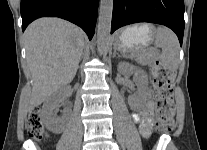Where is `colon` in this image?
I'll return each mask as SVG.
<instances>
[{"mask_svg":"<svg viewBox=\"0 0 207 150\" xmlns=\"http://www.w3.org/2000/svg\"><path fill=\"white\" fill-rule=\"evenodd\" d=\"M155 102H156V125L164 131H171L174 127V105L172 95V82L174 71L166 67L160 61L153 66ZM29 135L36 140L46 137V132L38 110H33L26 123Z\"/></svg>","mask_w":207,"mask_h":150,"instance_id":"obj_1","label":"colon"}]
</instances>
